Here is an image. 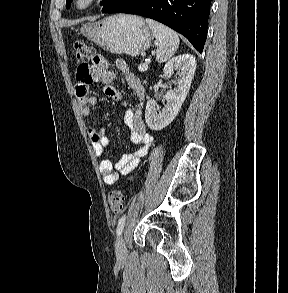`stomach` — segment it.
<instances>
[{"mask_svg": "<svg viewBox=\"0 0 288 293\" xmlns=\"http://www.w3.org/2000/svg\"><path fill=\"white\" fill-rule=\"evenodd\" d=\"M81 33L98 46L112 53L137 56L147 50L152 32L138 16L117 14L94 23H86Z\"/></svg>", "mask_w": 288, "mask_h": 293, "instance_id": "stomach-1", "label": "stomach"}]
</instances>
